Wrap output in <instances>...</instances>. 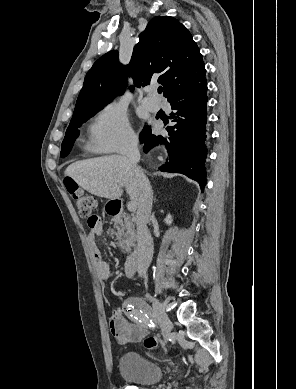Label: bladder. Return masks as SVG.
I'll use <instances>...</instances> for the list:
<instances>
[{"instance_id": "obj_1", "label": "bladder", "mask_w": 296, "mask_h": 389, "mask_svg": "<svg viewBox=\"0 0 296 389\" xmlns=\"http://www.w3.org/2000/svg\"><path fill=\"white\" fill-rule=\"evenodd\" d=\"M119 370L125 381L140 386L153 385L163 377L162 368L158 364L136 352H127L121 356Z\"/></svg>"}]
</instances>
